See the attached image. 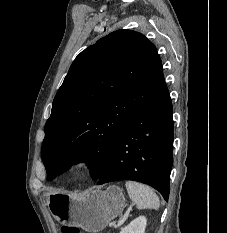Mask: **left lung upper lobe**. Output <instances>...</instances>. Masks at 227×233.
Wrapping results in <instances>:
<instances>
[{
	"mask_svg": "<svg viewBox=\"0 0 227 233\" xmlns=\"http://www.w3.org/2000/svg\"><path fill=\"white\" fill-rule=\"evenodd\" d=\"M164 85L156 47L138 32H112L82 51L45 124L42 160L48 178L85 160L99 180L122 131Z\"/></svg>",
	"mask_w": 227,
	"mask_h": 233,
	"instance_id": "left-lung-upper-lobe-1",
	"label": "left lung upper lobe"
}]
</instances>
